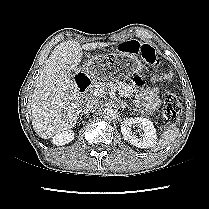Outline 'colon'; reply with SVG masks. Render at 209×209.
<instances>
[{
  "label": "colon",
  "instance_id": "5ec220e1",
  "mask_svg": "<svg viewBox=\"0 0 209 209\" xmlns=\"http://www.w3.org/2000/svg\"><path fill=\"white\" fill-rule=\"evenodd\" d=\"M119 50L125 53L137 54L148 64L157 65L159 59L155 48L149 43L137 40L127 41L119 47ZM181 101L172 93H168L164 100L163 117L167 123H174L181 113Z\"/></svg>",
  "mask_w": 209,
  "mask_h": 209
}]
</instances>
